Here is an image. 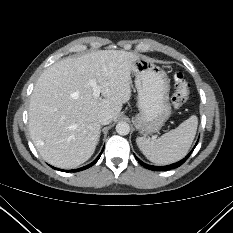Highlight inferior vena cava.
Wrapping results in <instances>:
<instances>
[{
	"label": "inferior vena cava",
	"mask_w": 233,
	"mask_h": 233,
	"mask_svg": "<svg viewBox=\"0 0 233 233\" xmlns=\"http://www.w3.org/2000/svg\"><path fill=\"white\" fill-rule=\"evenodd\" d=\"M111 120H112V116L107 111H104V112L100 113V115L98 116V121L102 125L109 124L111 122Z\"/></svg>",
	"instance_id": "1"
}]
</instances>
